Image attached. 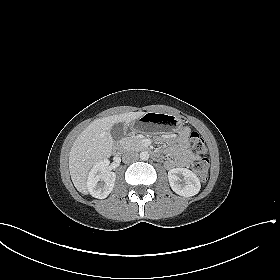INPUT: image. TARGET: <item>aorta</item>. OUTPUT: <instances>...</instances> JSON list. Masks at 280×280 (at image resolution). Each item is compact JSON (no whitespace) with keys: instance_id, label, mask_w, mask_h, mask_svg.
<instances>
[{"instance_id":"obj_1","label":"aorta","mask_w":280,"mask_h":280,"mask_svg":"<svg viewBox=\"0 0 280 280\" xmlns=\"http://www.w3.org/2000/svg\"><path fill=\"white\" fill-rule=\"evenodd\" d=\"M140 159L146 161L149 159V153L147 151H143L140 153Z\"/></svg>"}]
</instances>
